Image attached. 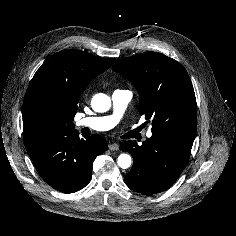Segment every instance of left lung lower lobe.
Returning <instances> with one entry per match:
<instances>
[{"instance_id": "0a47b994", "label": "left lung lower lobe", "mask_w": 236, "mask_h": 236, "mask_svg": "<svg viewBox=\"0 0 236 236\" xmlns=\"http://www.w3.org/2000/svg\"><path fill=\"white\" fill-rule=\"evenodd\" d=\"M193 141L180 135L152 134L140 146L136 141L123 143L120 149L134 160L125 176L127 186L149 196L170 188L187 165Z\"/></svg>"}]
</instances>
